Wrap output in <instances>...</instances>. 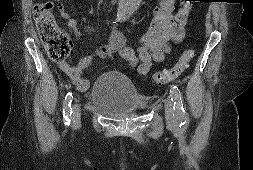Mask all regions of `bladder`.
<instances>
[{"label": "bladder", "instance_id": "obj_1", "mask_svg": "<svg viewBox=\"0 0 253 170\" xmlns=\"http://www.w3.org/2000/svg\"><path fill=\"white\" fill-rule=\"evenodd\" d=\"M89 105L104 116L126 118L143 109V99L134 83L122 72L104 71L92 85Z\"/></svg>", "mask_w": 253, "mask_h": 170}]
</instances>
